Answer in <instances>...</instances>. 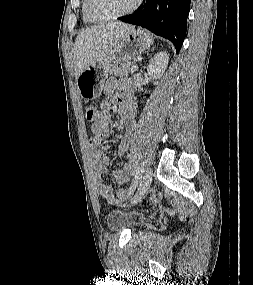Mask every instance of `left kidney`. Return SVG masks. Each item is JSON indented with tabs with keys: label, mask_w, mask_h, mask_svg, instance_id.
Returning a JSON list of instances; mask_svg holds the SVG:
<instances>
[{
	"label": "left kidney",
	"mask_w": 253,
	"mask_h": 285,
	"mask_svg": "<svg viewBox=\"0 0 253 285\" xmlns=\"http://www.w3.org/2000/svg\"><path fill=\"white\" fill-rule=\"evenodd\" d=\"M169 61V55L167 52H158L149 62L147 71L151 78L159 79L163 76Z\"/></svg>",
	"instance_id": "1"
}]
</instances>
